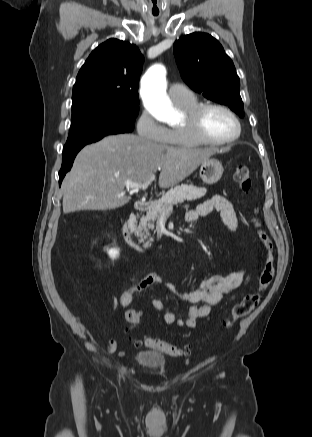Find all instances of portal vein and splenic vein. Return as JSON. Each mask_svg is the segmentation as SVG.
<instances>
[{
	"label": "portal vein and splenic vein",
	"instance_id": "portal-vein-and-splenic-vein-1",
	"mask_svg": "<svg viewBox=\"0 0 312 437\" xmlns=\"http://www.w3.org/2000/svg\"><path fill=\"white\" fill-rule=\"evenodd\" d=\"M156 176L155 174H152L151 176H149L144 182L142 183H138V182H133L131 180H126L124 182L125 186L127 189H142L145 190L148 188V185L155 180ZM173 207H169L168 209H166L167 211H172Z\"/></svg>",
	"mask_w": 312,
	"mask_h": 437
}]
</instances>
